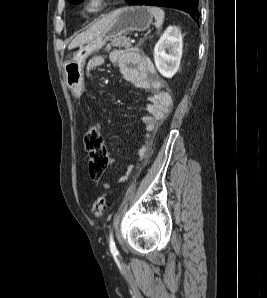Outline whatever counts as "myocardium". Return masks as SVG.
Masks as SVG:
<instances>
[{"label": "myocardium", "mask_w": 267, "mask_h": 298, "mask_svg": "<svg viewBox=\"0 0 267 298\" xmlns=\"http://www.w3.org/2000/svg\"><path fill=\"white\" fill-rule=\"evenodd\" d=\"M109 3L110 0H85L83 9L86 13L96 14L102 11Z\"/></svg>", "instance_id": "obj_1"}]
</instances>
